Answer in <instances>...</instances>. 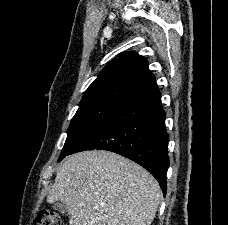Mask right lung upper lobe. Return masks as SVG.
I'll return each mask as SVG.
<instances>
[{
    "label": "right lung upper lobe",
    "mask_w": 228,
    "mask_h": 225,
    "mask_svg": "<svg viewBox=\"0 0 228 225\" xmlns=\"http://www.w3.org/2000/svg\"><path fill=\"white\" fill-rule=\"evenodd\" d=\"M92 82L89 88L96 86L124 83L144 89L155 82V77L148 69V62L135 52H124L117 55Z\"/></svg>",
    "instance_id": "1"
}]
</instances>
